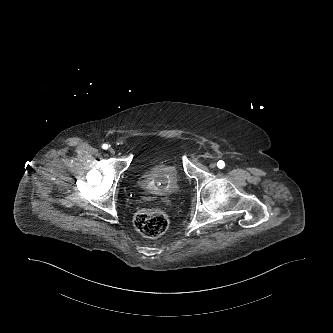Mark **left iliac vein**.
<instances>
[{"instance_id": "obj_1", "label": "left iliac vein", "mask_w": 333, "mask_h": 333, "mask_svg": "<svg viewBox=\"0 0 333 333\" xmlns=\"http://www.w3.org/2000/svg\"><path fill=\"white\" fill-rule=\"evenodd\" d=\"M210 168H215L216 167V163L215 162H211L209 165Z\"/></svg>"}]
</instances>
